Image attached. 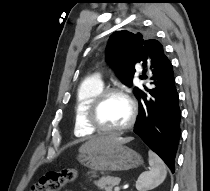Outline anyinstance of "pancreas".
<instances>
[{
    "mask_svg": "<svg viewBox=\"0 0 210 191\" xmlns=\"http://www.w3.org/2000/svg\"><path fill=\"white\" fill-rule=\"evenodd\" d=\"M120 182V178L111 177V176H103L100 180L95 181V185L105 191H112L113 187L118 185Z\"/></svg>",
    "mask_w": 210,
    "mask_h": 191,
    "instance_id": "cf45deb5",
    "label": "pancreas"
}]
</instances>
